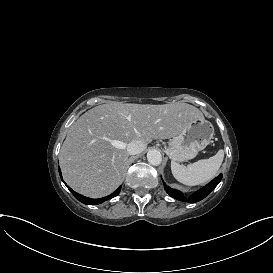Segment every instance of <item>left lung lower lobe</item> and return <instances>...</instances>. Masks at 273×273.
Segmentation results:
<instances>
[{"label": "left lung lower lobe", "instance_id": "1", "mask_svg": "<svg viewBox=\"0 0 273 273\" xmlns=\"http://www.w3.org/2000/svg\"><path fill=\"white\" fill-rule=\"evenodd\" d=\"M221 179H222V174L214 178L208 185H206L204 188L194 193L188 199L180 191L174 190L166 186L165 184H164V188H165V191L168 193V195H170L171 197L177 200H180L183 202L195 203L204 199L218 185Z\"/></svg>", "mask_w": 273, "mask_h": 273}]
</instances>
